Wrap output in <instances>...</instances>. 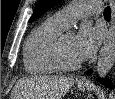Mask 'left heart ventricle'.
Wrapping results in <instances>:
<instances>
[{
	"label": "left heart ventricle",
	"mask_w": 115,
	"mask_h": 99,
	"mask_svg": "<svg viewBox=\"0 0 115 99\" xmlns=\"http://www.w3.org/2000/svg\"><path fill=\"white\" fill-rule=\"evenodd\" d=\"M62 51L65 58L70 62H80L75 50V37L65 36L61 40Z\"/></svg>",
	"instance_id": "left-heart-ventricle-1"
}]
</instances>
